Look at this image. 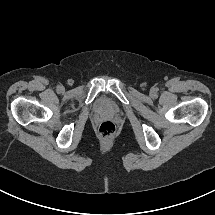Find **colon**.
Here are the masks:
<instances>
[{"mask_svg":"<svg viewBox=\"0 0 215 215\" xmlns=\"http://www.w3.org/2000/svg\"><path fill=\"white\" fill-rule=\"evenodd\" d=\"M99 132L103 137H112L116 132V125L110 120L104 121L99 126Z\"/></svg>","mask_w":215,"mask_h":215,"instance_id":"colon-1","label":"colon"}]
</instances>
